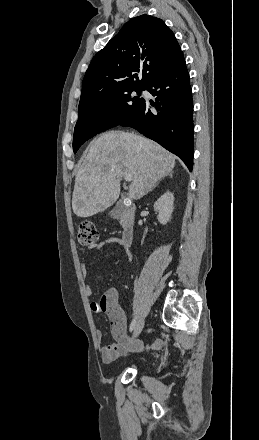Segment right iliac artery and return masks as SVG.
<instances>
[{"label":"right iliac artery","mask_w":259,"mask_h":440,"mask_svg":"<svg viewBox=\"0 0 259 440\" xmlns=\"http://www.w3.org/2000/svg\"><path fill=\"white\" fill-rule=\"evenodd\" d=\"M136 325V318H134L130 324V332L135 328Z\"/></svg>","instance_id":"82829eb1"}]
</instances>
